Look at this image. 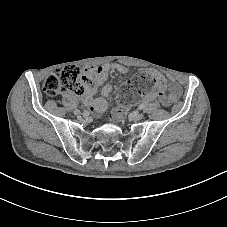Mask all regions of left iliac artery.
Masks as SVG:
<instances>
[{"instance_id":"obj_1","label":"left iliac artery","mask_w":227,"mask_h":227,"mask_svg":"<svg viewBox=\"0 0 227 227\" xmlns=\"http://www.w3.org/2000/svg\"><path fill=\"white\" fill-rule=\"evenodd\" d=\"M138 107H139V109H141V110H142V109L144 108V104H143V103H141V104H139V106H138Z\"/></svg>"}]
</instances>
